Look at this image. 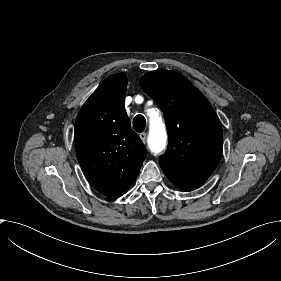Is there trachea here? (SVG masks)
Listing matches in <instances>:
<instances>
[{
    "mask_svg": "<svg viewBox=\"0 0 281 281\" xmlns=\"http://www.w3.org/2000/svg\"><path fill=\"white\" fill-rule=\"evenodd\" d=\"M133 126L136 132H143L146 126V119L143 115H137L133 119Z\"/></svg>",
    "mask_w": 281,
    "mask_h": 281,
    "instance_id": "obj_1",
    "label": "trachea"
}]
</instances>
